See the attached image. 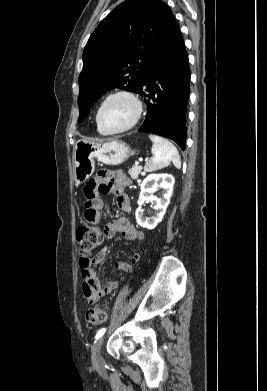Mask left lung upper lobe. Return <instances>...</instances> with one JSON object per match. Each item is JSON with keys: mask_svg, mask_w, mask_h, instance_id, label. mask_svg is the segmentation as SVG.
<instances>
[{"mask_svg": "<svg viewBox=\"0 0 267 391\" xmlns=\"http://www.w3.org/2000/svg\"><path fill=\"white\" fill-rule=\"evenodd\" d=\"M179 29L161 0H126L109 13L90 36L79 76V122L105 92H136L162 46Z\"/></svg>", "mask_w": 267, "mask_h": 391, "instance_id": "5c2ea615", "label": "left lung upper lobe"}]
</instances>
